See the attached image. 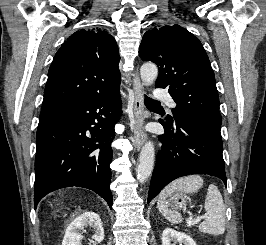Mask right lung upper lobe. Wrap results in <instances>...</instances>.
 Here are the masks:
<instances>
[{
    "mask_svg": "<svg viewBox=\"0 0 266 245\" xmlns=\"http://www.w3.org/2000/svg\"><path fill=\"white\" fill-rule=\"evenodd\" d=\"M120 57L116 41L101 29L72 34L49 68L40 119L78 101L119 90Z\"/></svg>",
    "mask_w": 266,
    "mask_h": 245,
    "instance_id": "obj_1",
    "label": "right lung upper lobe"
}]
</instances>
